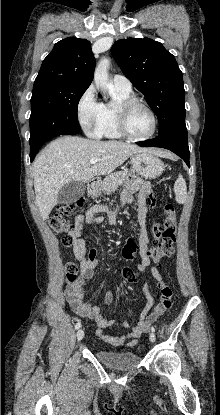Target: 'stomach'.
<instances>
[{"instance_id":"stomach-1","label":"stomach","mask_w":220,"mask_h":415,"mask_svg":"<svg viewBox=\"0 0 220 415\" xmlns=\"http://www.w3.org/2000/svg\"><path fill=\"white\" fill-rule=\"evenodd\" d=\"M133 171L145 179H155L164 171L163 162L155 155L149 152L136 153L131 157ZM101 182L93 183L88 188V194L92 197H98L101 194Z\"/></svg>"}]
</instances>
